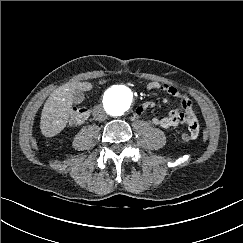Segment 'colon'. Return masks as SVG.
I'll return each instance as SVG.
<instances>
[{"label":"colon","mask_w":243,"mask_h":243,"mask_svg":"<svg viewBox=\"0 0 243 243\" xmlns=\"http://www.w3.org/2000/svg\"><path fill=\"white\" fill-rule=\"evenodd\" d=\"M89 114L90 111L86 107H74L69 118L70 125L77 126L84 123L87 120ZM181 137L184 141L192 140V135L189 132L182 133Z\"/></svg>","instance_id":"obj_1"}]
</instances>
